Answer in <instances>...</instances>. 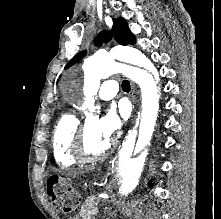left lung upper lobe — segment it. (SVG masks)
I'll list each match as a JSON object with an SVG mask.
<instances>
[{"mask_svg":"<svg viewBox=\"0 0 221 219\" xmlns=\"http://www.w3.org/2000/svg\"><path fill=\"white\" fill-rule=\"evenodd\" d=\"M112 35L114 36L115 40L121 45L134 44L136 42L134 35L131 33V31L128 28L127 22L122 17L113 19L112 33H107V32L100 33L97 36L95 43L97 45H100L102 44V42H108L111 39ZM85 54L86 52H80L77 55H75L68 62L65 69L79 62L85 56Z\"/></svg>","mask_w":221,"mask_h":219,"instance_id":"5c2ea615","label":"left lung upper lobe"}]
</instances>
